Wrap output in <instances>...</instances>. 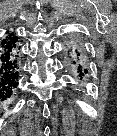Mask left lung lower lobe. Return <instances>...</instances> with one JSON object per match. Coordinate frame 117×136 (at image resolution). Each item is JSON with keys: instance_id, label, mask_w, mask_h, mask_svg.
Listing matches in <instances>:
<instances>
[{"instance_id": "obj_1", "label": "left lung lower lobe", "mask_w": 117, "mask_h": 136, "mask_svg": "<svg viewBox=\"0 0 117 136\" xmlns=\"http://www.w3.org/2000/svg\"><path fill=\"white\" fill-rule=\"evenodd\" d=\"M63 55L65 68L79 80H84L90 68L84 41L77 36L67 37Z\"/></svg>"}]
</instances>
